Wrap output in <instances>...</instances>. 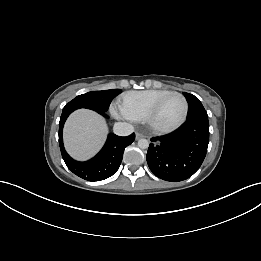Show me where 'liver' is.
Here are the masks:
<instances>
[{"label": "liver", "instance_id": "6515ba94", "mask_svg": "<svg viewBox=\"0 0 261 261\" xmlns=\"http://www.w3.org/2000/svg\"><path fill=\"white\" fill-rule=\"evenodd\" d=\"M107 132V124L99 114L87 109L76 110L64 126L66 150L77 160L90 159L103 146Z\"/></svg>", "mask_w": 261, "mask_h": 261}]
</instances>
